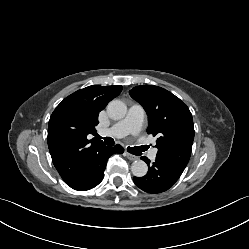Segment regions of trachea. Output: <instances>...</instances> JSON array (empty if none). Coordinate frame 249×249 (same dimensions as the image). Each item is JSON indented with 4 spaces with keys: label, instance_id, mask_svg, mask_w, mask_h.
<instances>
[{
    "label": "trachea",
    "instance_id": "3493384b",
    "mask_svg": "<svg viewBox=\"0 0 249 249\" xmlns=\"http://www.w3.org/2000/svg\"><path fill=\"white\" fill-rule=\"evenodd\" d=\"M97 138H102L100 135L97 136ZM104 139V144L108 145V146H113L114 145V139L111 137H105ZM128 152H130L131 154L136 155V151L137 148L136 147H128Z\"/></svg>",
    "mask_w": 249,
    "mask_h": 249
}]
</instances>
